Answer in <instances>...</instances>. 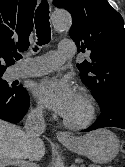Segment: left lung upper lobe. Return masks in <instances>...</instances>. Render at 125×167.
Returning a JSON list of instances; mask_svg holds the SVG:
<instances>
[{
	"label": "left lung upper lobe",
	"mask_w": 125,
	"mask_h": 167,
	"mask_svg": "<svg viewBox=\"0 0 125 167\" xmlns=\"http://www.w3.org/2000/svg\"><path fill=\"white\" fill-rule=\"evenodd\" d=\"M72 15L69 35L78 52L90 59L77 64L82 81L100 108L112 98H125V29L122 16L106 0H53Z\"/></svg>",
	"instance_id": "5c2ea615"
}]
</instances>
